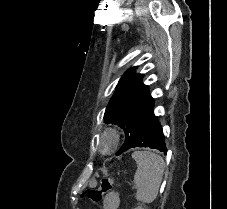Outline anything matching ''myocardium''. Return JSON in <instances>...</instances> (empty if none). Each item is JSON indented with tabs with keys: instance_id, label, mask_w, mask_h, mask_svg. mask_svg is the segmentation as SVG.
Returning <instances> with one entry per match:
<instances>
[{
	"instance_id": "myocardium-1",
	"label": "myocardium",
	"mask_w": 227,
	"mask_h": 209,
	"mask_svg": "<svg viewBox=\"0 0 227 209\" xmlns=\"http://www.w3.org/2000/svg\"><path fill=\"white\" fill-rule=\"evenodd\" d=\"M103 136L110 138V144L102 147L100 145V139ZM121 141V132L115 125H106L100 129L93 138L95 150L102 155H109L113 153L119 146Z\"/></svg>"
}]
</instances>
